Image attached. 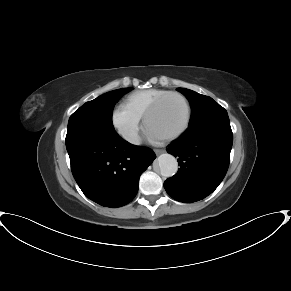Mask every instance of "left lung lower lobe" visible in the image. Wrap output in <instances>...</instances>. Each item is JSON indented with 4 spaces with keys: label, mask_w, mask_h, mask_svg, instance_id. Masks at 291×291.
<instances>
[{
    "label": "left lung lower lobe",
    "mask_w": 291,
    "mask_h": 291,
    "mask_svg": "<svg viewBox=\"0 0 291 291\" xmlns=\"http://www.w3.org/2000/svg\"><path fill=\"white\" fill-rule=\"evenodd\" d=\"M232 143L228 115L185 131L167 148L180 165L178 172L164 182L168 195L191 203L211 194L227 172Z\"/></svg>",
    "instance_id": "obj_1"
}]
</instances>
